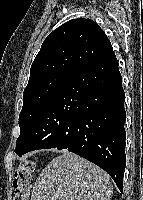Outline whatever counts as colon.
I'll list each match as a JSON object with an SVG mask.
<instances>
[{
	"label": "colon",
	"mask_w": 143,
	"mask_h": 200,
	"mask_svg": "<svg viewBox=\"0 0 143 200\" xmlns=\"http://www.w3.org/2000/svg\"><path fill=\"white\" fill-rule=\"evenodd\" d=\"M36 160L29 158L21 162L16 169L13 179L14 200H29L31 182Z\"/></svg>",
	"instance_id": "1"
}]
</instances>
